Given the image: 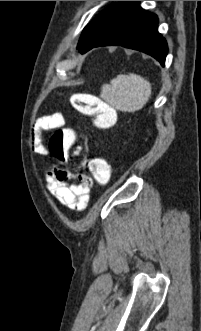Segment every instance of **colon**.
<instances>
[{
  "instance_id": "obj_1",
  "label": "colon",
  "mask_w": 201,
  "mask_h": 331,
  "mask_svg": "<svg viewBox=\"0 0 201 331\" xmlns=\"http://www.w3.org/2000/svg\"><path fill=\"white\" fill-rule=\"evenodd\" d=\"M74 107L83 115L89 117L99 130L113 127L117 120L115 109L97 96L91 94H76L73 97ZM75 140V135L64 128H59L52 135L49 143L50 153L60 161H65V147ZM93 180L99 186H106L111 177L110 167L102 158H91L83 162Z\"/></svg>"
}]
</instances>
